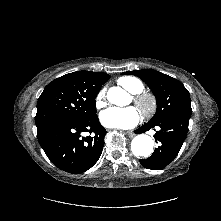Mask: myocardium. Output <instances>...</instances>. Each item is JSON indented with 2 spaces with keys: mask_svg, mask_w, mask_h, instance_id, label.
I'll list each match as a JSON object with an SVG mask.
<instances>
[{
  "mask_svg": "<svg viewBox=\"0 0 221 221\" xmlns=\"http://www.w3.org/2000/svg\"><path fill=\"white\" fill-rule=\"evenodd\" d=\"M134 103L139 107L142 114L151 117L157 110V99L150 92H140L134 96Z\"/></svg>",
  "mask_w": 221,
  "mask_h": 221,
  "instance_id": "f54148a6",
  "label": "myocardium"
}]
</instances>
